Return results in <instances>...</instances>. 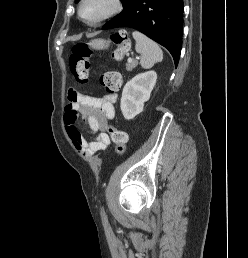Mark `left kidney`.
<instances>
[{
  "mask_svg": "<svg viewBox=\"0 0 248 258\" xmlns=\"http://www.w3.org/2000/svg\"><path fill=\"white\" fill-rule=\"evenodd\" d=\"M157 80L155 71H147L133 77L126 83L122 91L120 108L126 120H131L143 111L144 103Z\"/></svg>",
  "mask_w": 248,
  "mask_h": 258,
  "instance_id": "5707ae66",
  "label": "left kidney"
}]
</instances>
